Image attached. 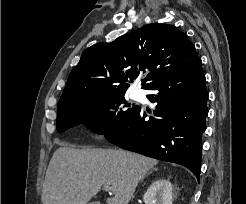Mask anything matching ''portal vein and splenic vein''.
Returning <instances> with one entry per match:
<instances>
[{
    "label": "portal vein and splenic vein",
    "instance_id": "portal-vein-and-splenic-vein-1",
    "mask_svg": "<svg viewBox=\"0 0 246 204\" xmlns=\"http://www.w3.org/2000/svg\"><path fill=\"white\" fill-rule=\"evenodd\" d=\"M103 188H104L105 191L113 192V188L111 186H109V185H105Z\"/></svg>",
    "mask_w": 246,
    "mask_h": 204
}]
</instances>
